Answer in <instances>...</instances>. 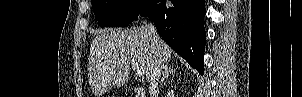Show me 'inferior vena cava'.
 Here are the masks:
<instances>
[{
    "label": "inferior vena cava",
    "instance_id": "obj_1",
    "mask_svg": "<svg viewBox=\"0 0 302 97\" xmlns=\"http://www.w3.org/2000/svg\"><path fill=\"white\" fill-rule=\"evenodd\" d=\"M148 35L151 37L152 41L157 47V63L154 65L151 76H150V86L149 93L151 97H157L159 93L158 82L161 76L162 69L164 68L165 59L163 57L162 50L160 48V39L157 34L156 28L152 23L147 26Z\"/></svg>",
    "mask_w": 302,
    "mask_h": 97
}]
</instances>
